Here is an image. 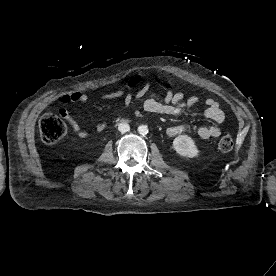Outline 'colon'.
Here are the masks:
<instances>
[{
	"instance_id": "colon-1",
	"label": "colon",
	"mask_w": 276,
	"mask_h": 276,
	"mask_svg": "<svg viewBox=\"0 0 276 276\" xmlns=\"http://www.w3.org/2000/svg\"><path fill=\"white\" fill-rule=\"evenodd\" d=\"M137 81V79L132 80V84H135ZM39 129L43 142L54 144L65 136L67 125L58 114L46 112L40 119ZM233 145V138L230 135H225L218 141L217 147L221 152H229L232 150Z\"/></svg>"
}]
</instances>
